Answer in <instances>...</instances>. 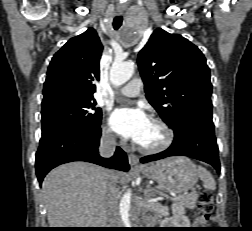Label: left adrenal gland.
I'll return each mask as SVG.
<instances>
[{"label":"left adrenal gland","instance_id":"left-adrenal-gland-1","mask_svg":"<svg viewBox=\"0 0 252 231\" xmlns=\"http://www.w3.org/2000/svg\"><path fill=\"white\" fill-rule=\"evenodd\" d=\"M145 196H153L154 195V190L151 188L149 184H147L146 189L144 191Z\"/></svg>","mask_w":252,"mask_h":231}]
</instances>
